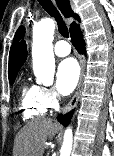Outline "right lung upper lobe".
<instances>
[{"instance_id": "obj_1", "label": "right lung upper lobe", "mask_w": 114, "mask_h": 156, "mask_svg": "<svg viewBox=\"0 0 114 156\" xmlns=\"http://www.w3.org/2000/svg\"><path fill=\"white\" fill-rule=\"evenodd\" d=\"M56 2L62 14L65 17L68 18V17L73 16L75 19L80 21L79 16L73 13L71 6H70V2L68 0H56ZM75 26L76 24L73 22L71 24L70 30ZM26 59H27L26 44L24 41H22L9 58L8 77L16 76L19 69L21 68L23 63L26 61Z\"/></svg>"}]
</instances>
